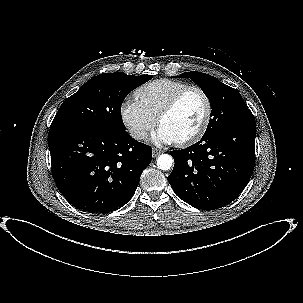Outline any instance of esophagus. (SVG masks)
<instances>
[{
	"label": "esophagus",
	"mask_w": 303,
	"mask_h": 303,
	"mask_svg": "<svg viewBox=\"0 0 303 303\" xmlns=\"http://www.w3.org/2000/svg\"><path fill=\"white\" fill-rule=\"evenodd\" d=\"M162 151L161 150H158L156 148H153L152 150V156L155 158L157 157Z\"/></svg>",
	"instance_id": "34e87169"
}]
</instances>
